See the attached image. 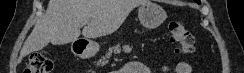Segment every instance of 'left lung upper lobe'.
<instances>
[{"label":"left lung upper lobe","mask_w":244,"mask_h":73,"mask_svg":"<svg viewBox=\"0 0 244 73\" xmlns=\"http://www.w3.org/2000/svg\"><path fill=\"white\" fill-rule=\"evenodd\" d=\"M196 2H198L200 4V0H195Z\"/></svg>","instance_id":"left-lung-upper-lobe-1"}]
</instances>
